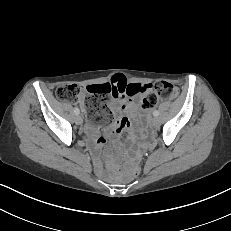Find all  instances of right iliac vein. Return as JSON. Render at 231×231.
Here are the masks:
<instances>
[{
	"mask_svg": "<svg viewBox=\"0 0 231 231\" xmlns=\"http://www.w3.org/2000/svg\"><path fill=\"white\" fill-rule=\"evenodd\" d=\"M75 122L78 125H81L83 123V118L80 115H76Z\"/></svg>",
	"mask_w": 231,
	"mask_h": 231,
	"instance_id": "obj_1",
	"label": "right iliac vein"
}]
</instances>
